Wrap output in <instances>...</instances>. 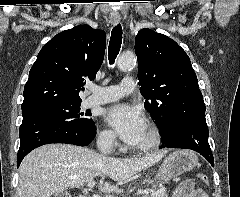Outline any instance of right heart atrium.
Segmentation results:
<instances>
[{
    "instance_id": "d8ad5b80",
    "label": "right heart atrium",
    "mask_w": 240,
    "mask_h": 197,
    "mask_svg": "<svg viewBox=\"0 0 240 197\" xmlns=\"http://www.w3.org/2000/svg\"><path fill=\"white\" fill-rule=\"evenodd\" d=\"M98 143L108 149H114L117 145L116 135L108 129H104L99 133Z\"/></svg>"
}]
</instances>
